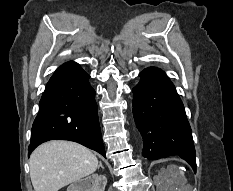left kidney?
I'll return each instance as SVG.
<instances>
[{"label": "left kidney", "mask_w": 233, "mask_h": 191, "mask_svg": "<svg viewBox=\"0 0 233 191\" xmlns=\"http://www.w3.org/2000/svg\"><path fill=\"white\" fill-rule=\"evenodd\" d=\"M172 177V181H171V185L173 186L171 191H180V187L182 185V183H180L178 180H176V177L171 175Z\"/></svg>", "instance_id": "obj_1"}]
</instances>
